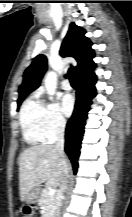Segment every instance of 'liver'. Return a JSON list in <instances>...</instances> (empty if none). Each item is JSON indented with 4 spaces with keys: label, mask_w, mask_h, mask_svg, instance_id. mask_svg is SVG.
Returning <instances> with one entry per match:
<instances>
[{
    "label": "liver",
    "mask_w": 132,
    "mask_h": 217,
    "mask_svg": "<svg viewBox=\"0 0 132 217\" xmlns=\"http://www.w3.org/2000/svg\"><path fill=\"white\" fill-rule=\"evenodd\" d=\"M65 159V158H64ZM68 173L70 163L65 159ZM62 157L55 145H35L25 149L19 157V190L20 199L34 187L46 182L51 187L60 186L65 180Z\"/></svg>",
    "instance_id": "obj_1"
}]
</instances>
